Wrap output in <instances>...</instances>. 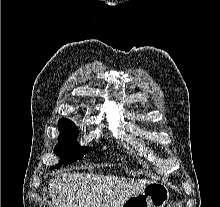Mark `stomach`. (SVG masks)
Instances as JSON below:
<instances>
[{"label":"stomach","mask_w":220,"mask_h":207,"mask_svg":"<svg viewBox=\"0 0 220 207\" xmlns=\"http://www.w3.org/2000/svg\"><path fill=\"white\" fill-rule=\"evenodd\" d=\"M170 199L169 189L157 181H148L141 192L130 196L122 207H165Z\"/></svg>","instance_id":"0dacf381"}]
</instances>
